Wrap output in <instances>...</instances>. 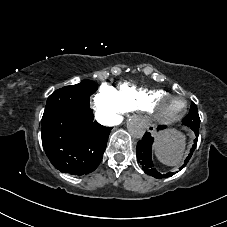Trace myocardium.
Instances as JSON below:
<instances>
[{
    "label": "myocardium",
    "instance_id": "1",
    "mask_svg": "<svg viewBox=\"0 0 227 227\" xmlns=\"http://www.w3.org/2000/svg\"><path fill=\"white\" fill-rule=\"evenodd\" d=\"M165 100L180 101L181 107L172 113L164 114L159 109ZM188 108L187 100L182 95L167 94L149 101L145 107L148 118L159 124L176 122L183 117Z\"/></svg>",
    "mask_w": 227,
    "mask_h": 227
}]
</instances>
